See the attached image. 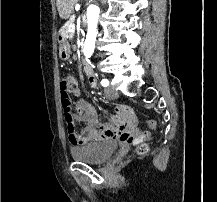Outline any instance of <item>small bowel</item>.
I'll use <instances>...</instances> for the list:
<instances>
[{"instance_id": "1", "label": "small bowel", "mask_w": 217, "mask_h": 202, "mask_svg": "<svg viewBox=\"0 0 217 202\" xmlns=\"http://www.w3.org/2000/svg\"><path fill=\"white\" fill-rule=\"evenodd\" d=\"M88 85L91 89L96 88V79L88 78ZM73 96H80V89L76 87L70 92ZM71 107V104H70ZM122 108H117L114 113L107 115V121L100 124L97 119L95 108L83 101L75 103V118L84 124L80 131L74 130L69 133V142L74 147L85 146L101 141L118 140L122 144H134L142 140L143 134L132 124L129 116L131 111L123 112Z\"/></svg>"}]
</instances>
